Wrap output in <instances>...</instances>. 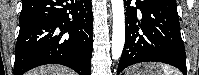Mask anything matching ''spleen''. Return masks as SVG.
I'll list each match as a JSON object with an SVG mask.
<instances>
[{"instance_id": "obj_1", "label": "spleen", "mask_w": 199, "mask_h": 75, "mask_svg": "<svg viewBox=\"0 0 199 75\" xmlns=\"http://www.w3.org/2000/svg\"><path fill=\"white\" fill-rule=\"evenodd\" d=\"M158 67L162 69V73H160V75H181L178 70L170 67L169 65L164 64L159 65Z\"/></svg>"}]
</instances>
